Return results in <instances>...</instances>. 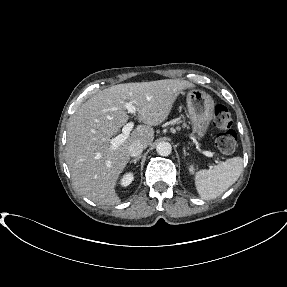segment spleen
<instances>
[{
  "instance_id": "1",
  "label": "spleen",
  "mask_w": 287,
  "mask_h": 287,
  "mask_svg": "<svg viewBox=\"0 0 287 287\" xmlns=\"http://www.w3.org/2000/svg\"><path fill=\"white\" fill-rule=\"evenodd\" d=\"M242 170L241 157L227 159L213 169L199 170L195 175L198 194L204 200L217 198L238 180Z\"/></svg>"
}]
</instances>
